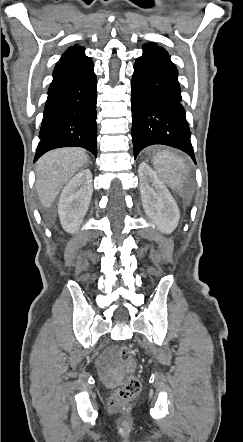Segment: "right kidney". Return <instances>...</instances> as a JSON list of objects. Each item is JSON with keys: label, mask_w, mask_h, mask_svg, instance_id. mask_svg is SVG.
Masks as SVG:
<instances>
[{"label": "right kidney", "mask_w": 243, "mask_h": 442, "mask_svg": "<svg viewBox=\"0 0 243 442\" xmlns=\"http://www.w3.org/2000/svg\"><path fill=\"white\" fill-rule=\"evenodd\" d=\"M93 193L92 173L84 169L77 173L62 190L58 214L65 231L74 233L83 222Z\"/></svg>", "instance_id": "ca27d5eb"}]
</instances>
